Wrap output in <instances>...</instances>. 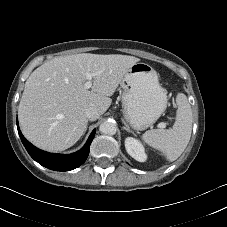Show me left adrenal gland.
<instances>
[{"mask_svg": "<svg viewBox=\"0 0 227 227\" xmlns=\"http://www.w3.org/2000/svg\"><path fill=\"white\" fill-rule=\"evenodd\" d=\"M122 121H123V123H124L123 129L126 130V131H128V132L133 133V131H132V130L130 129V127L128 126V124H127L124 120H122Z\"/></svg>", "mask_w": 227, "mask_h": 227, "instance_id": "a2214340", "label": "left adrenal gland"}]
</instances>
